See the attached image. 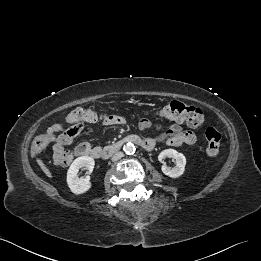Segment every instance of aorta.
<instances>
[{
  "label": "aorta",
  "mask_w": 261,
  "mask_h": 261,
  "mask_svg": "<svg viewBox=\"0 0 261 261\" xmlns=\"http://www.w3.org/2000/svg\"><path fill=\"white\" fill-rule=\"evenodd\" d=\"M123 150H124V152H125L126 154L132 155V154L135 153L136 148H135V146H134L133 143H130V142H129V143H127L126 145H124Z\"/></svg>",
  "instance_id": "aorta-1"
}]
</instances>
